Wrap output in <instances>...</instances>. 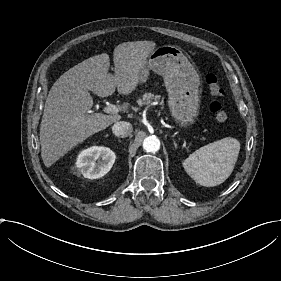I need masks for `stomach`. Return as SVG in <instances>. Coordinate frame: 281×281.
Wrapping results in <instances>:
<instances>
[{
	"label": "stomach",
	"instance_id": "stomach-1",
	"mask_svg": "<svg viewBox=\"0 0 281 281\" xmlns=\"http://www.w3.org/2000/svg\"><path fill=\"white\" fill-rule=\"evenodd\" d=\"M150 71L164 78L173 116L183 124L192 122L199 108L200 76L188 57L175 46H158L137 71V83L149 81Z\"/></svg>",
	"mask_w": 281,
	"mask_h": 281
}]
</instances>
